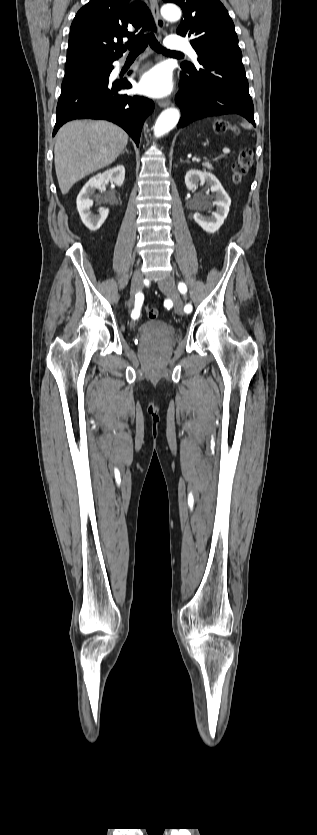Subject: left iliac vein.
I'll return each instance as SVG.
<instances>
[{"label": "left iliac vein", "mask_w": 317, "mask_h": 835, "mask_svg": "<svg viewBox=\"0 0 317 835\" xmlns=\"http://www.w3.org/2000/svg\"><path fill=\"white\" fill-rule=\"evenodd\" d=\"M158 286L162 292L170 296L174 300L175 312L182 316L184 315L183 302L176 290L175 282L172 276H166L158 282Z\"/></svg>", "instance_id": "4c4485c4"}]
</instances>
